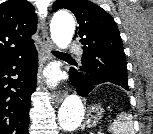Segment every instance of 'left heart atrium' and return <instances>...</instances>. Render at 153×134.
<instances>
[{"label":"left heart atrium","mask_w":153,"mask_h":134,"mask_svg":"<svg viewBox=\"0 0 153 134\" xmlns=\"http://www.w3.org/2000/svg\"><path fill=\"white\" fill-rule=\"evenodd\" d=\"M47 77H48V80H49L50 83L55 82V75L53 73H48Z\"/></svg>","instance_id":"39dd6f15"}]
</instances>
